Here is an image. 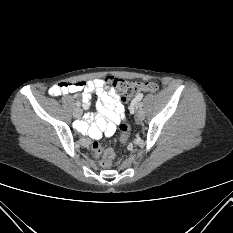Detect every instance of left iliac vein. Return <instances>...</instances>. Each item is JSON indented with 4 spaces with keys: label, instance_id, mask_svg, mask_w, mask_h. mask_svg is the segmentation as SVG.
Here are the masks:
<instances>
[{
    "label": "left iliac vein",
    "instance_id": "obj_1",
    "mask_svg": "<svg viewBox=\"0 0 233 233\" xmlns=\"http://www.w3.org/2000/svg\"><path fill=\"white\" fill-rule=\"evenodd\" d=\"M137 118L139 120H143L145 118V111L142 108H140L138 110V112H137Z\"/></svg>",
    "mask_w": 233,
    "mask_h": 233
}]
</instances>
